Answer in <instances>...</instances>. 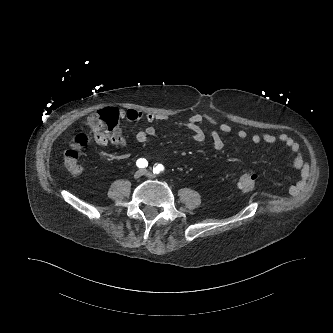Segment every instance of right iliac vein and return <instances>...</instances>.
I'll use <instances>...</instances> for the list:
<instances>
[{
    "label": "right iliac vein",
    "mask_w": 333,
    "mask_h": 333,
    "mask_svg": "<svg viewBox=\"0 0 333 333\" xmlns=\"http://www.w3.org/2000/svg\"><path fill=\"white\" fill-rule=\"evenodd\" d=\"M142 175H143L142 170H138V171H136V172L134 173V178H135V179H139V178L142 177Z\"/></svg>",
    "instance_id": "1"
}]
</instances>
